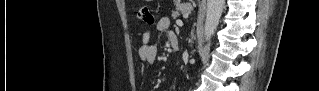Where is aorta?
Instances as JSON below:
<instances>
[{"label": "aorta", "mask_w": 319, "mask_h": 91, "mask_svg": "<svg viewBox=\"0 0 319 91\" xmlns=\"http://www.w3.org/2000/svg\"><path fill=\"white\" fill-rule=\"evenodd\" d=\"M225 0H207L206 19L204 25L205 40L214 34L221 18Z\"/></svg>", "instance_id": "obj_1"}]
</instances>
